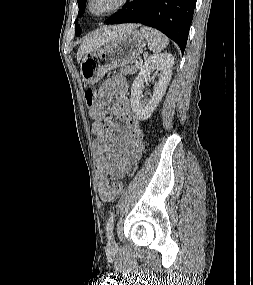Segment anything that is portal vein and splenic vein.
Masks as SVG:
<instances>
[{"label":"portal vein and splenic vein","mask_w":253,"mask_h":285,"mask_svg":"<svg viewBox=\"0 0 253 285\" xmlns=\"http://www.w3.org/2000/svg\"><path fill=\"white\" fill-rule=\"evenodd\" d=\"M141 65H142V62H141V61H138V62L136 63V66H137L138 68H140Z\"/></svg>","instance_id":"18ae733b"}]
</instances>
